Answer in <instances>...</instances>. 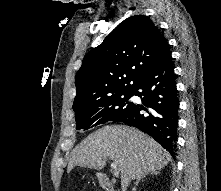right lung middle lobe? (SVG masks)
Here are the masks:
<instances>
[{"instance_id": "dd1d6c3e", "label": "right lung middle lobe", "mask_w": 221, "mask_h": 191, "mask_svg": "<svg viewBox=\"0 0 221 191\" xmlns=\"http://www.w3.org/2000/svg\"><path fill=\"white\" fill-rule=\"evenodd\" d=\"M133 91H128L100 101L75 113L76 129H90L109 121L120 122L129 113L133 103L128 100Z\"/></svg>"}]
</instances>
